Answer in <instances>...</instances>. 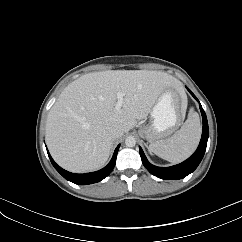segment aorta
<instances>
[{"instance_id": "aorta-1", "label": "aorta", "mask_w": 242, "mask_h": 242, "mask_svg": "<svg viewBox=\"0 0 242 242\" xmlns=\"http://www.w3.org/2000/svg\"><path fill=\"white\" fill-rule=\"evenodd\" d=\"M125 145L127 147H134L136 145V139L132 136H129L125 139Z\"/></svg>"}]
</instances>
